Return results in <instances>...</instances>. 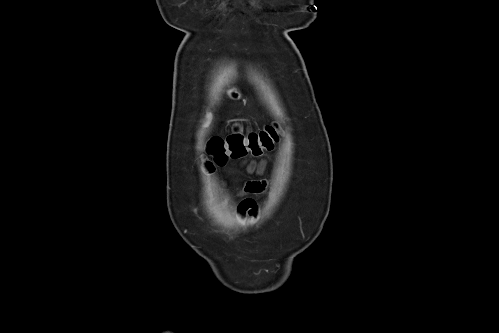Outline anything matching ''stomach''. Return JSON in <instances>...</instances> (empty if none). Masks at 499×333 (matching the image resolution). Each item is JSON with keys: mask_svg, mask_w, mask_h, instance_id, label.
I'll list each match as a JSON object with an SVG mask.
<instances>
[{"mask_svg": "<svg viewBox=\"0 0 499 333\" xmlns=\"http://www.w3.org/2000/svg\"><path fill=\"white\" fill-rule=\"evenodd\" d=\"M228 95L232 99H239L240 98V93L236 89H231L228 91Z\"/></svg>", "mask_w": 499, "mask_h": 333, "instance_id": "obj_1", "label": "stomach"}]
</instances>
